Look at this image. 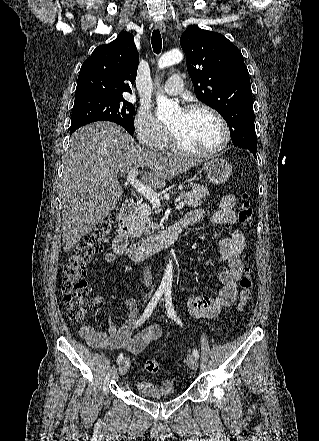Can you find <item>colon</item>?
I'll return each instance as SVG.
<instances>
[{"mask_svg": "<svg viewBox=\"0 0 319 441\" xmlns=\"http://www.w3.org/2000/svg\"><path fill=\"white\" fill-rule=\"evenodd\" d=\"M116 217L114 214L102 221L99 226L88 234L68 255L63 267L62 295L67 316L77 322L91 310L89 290L85 280V269L91 259L99 254L107 242L113 229ZM238 221L245 227L253 224V208L249 194L243 192L239 198ZM237 310L242 311L252 298L253 277L249 268L245 270L240 282ZM145 368L149 373H156L160 364L155 359L147 360Z\"/></svg>", "mask_w": 319, "mask_h": 441, "instance_id": "colon-1", "label": "colon"}]
</instances>
